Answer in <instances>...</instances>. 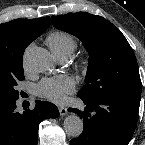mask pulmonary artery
<instances>
[{
  "instance_id": "1",
  "label": "pulmonary artery",
  "mask_w": 145,
  "mask_h": 145,
  "mask_svg": "<svg viewBox=\"0 0 145 145\" xmlns=\"http://www.w3.org/2000/svg\"><path fill=\"white\" fill-rule=\"evenodd\" d=\"M58 59L61 62H66L69 59V56H67V55L59 56Z\"/></svg>"
}]
</instances>
